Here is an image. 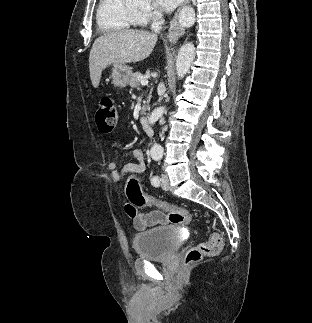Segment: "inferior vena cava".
<instances>
[{
  "label": "inferior vena cava",
  "instance_id": "602c4592",
  "mask_svg": "<svg viewBox=\"0 0 312 323\" xmlns=\"http://www.w3.org/2000/svg\"><path fill=\"white\" fill-rule=\"evenodd\" d=\"M163 22H164V20H162V18H160V16H159V20H157V22H153L152 30H161V26H162Z\"/></svg>",
  "mask_w": 312,
  "mask_h": 323
}]
</instances>
